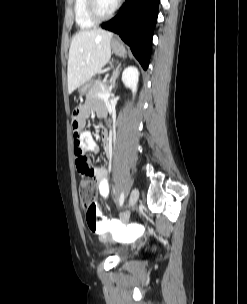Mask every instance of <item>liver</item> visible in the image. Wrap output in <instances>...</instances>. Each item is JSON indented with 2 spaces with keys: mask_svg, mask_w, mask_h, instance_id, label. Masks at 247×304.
I'll return each instance as SVG.
<instances>
[{
  "mask_svg": "<svg viewBox=\"0 0 247 304\" xmlns=\"http://www.w3.org/2000/svg\"><path fill=\"white\" fill-rule=\"evenodd\" d=\"M113 34L102 29L81 30L73 37L68 59V92L88 82L108 63Z\"/></svg>",
  "mask_w": 247,
  "mask_h": 304,
  "instance_id": "obj_1",
  "label": "liver"
}]
</instances>
